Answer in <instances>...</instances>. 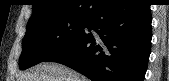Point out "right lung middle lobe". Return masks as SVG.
<instances>
[{"mask_svg":"<svg viewBox=\"0 0 169 81\" xmlns=\"http://www.w3.org/2000/svg\"><path fill=\"white\" fill-rule=\"evenodd\" d=\"M87 16H56L27 24L19 59L21 70L30 68L71 42L84 28Z\"/></svg>","mask_w":169,"mask_h":81,"instance_id":"obj_1","label":"right lung middle lobe"}]
</instances>
